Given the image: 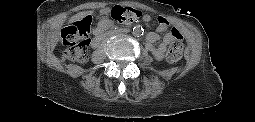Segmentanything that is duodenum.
I'll return each mask as SVG.
<instances>
[{
	"label": "duodenum",
	"instance_id": "410a0bca",
	"mask_svg": "<svg viewBox=\"0 0 255 122\" xmlns=\"http://www.w3.org/2000/svg\"><path fill=\"white\" fill-rule=\"evenodd\" d=\"M103 31L102 30H100L98 33H97V35H96V40L97 41H99L100 39H101V37L103 36Z\"/></svg>",
	"mask_w": 255,
	"mask_h": 122
}]
</instances>
